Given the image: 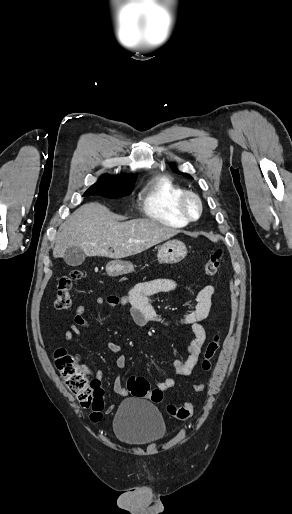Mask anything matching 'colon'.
<instances>
[{"instance_id":"1","label":"colon","mask_w":292,"mask_h":514,"mask_svg":"<svg viewBox=\"0 0 292 514\" xmlns=\"http://www.w3.org/2000/svg\"><path fill=\"white\" fill-rule=\"evenodd\" d=\"M223 250L216 249L205 261L203 272L206 276L217 273L221 265ZM83 278L80 270L72 271L69 275L59 279L55 297V306L61 312H67L73 303L72 288L76 281ZM221 338L215 335L205 346L202 358V369L210 371L212 360L220 348ZM55 366L60 375L65 379L67 388L74 394L77 401L85 408L92 407L89 417L92 420H100L103 417L104 398L103 390L98 379L90 378L81 366L78 357L64 349L55 352ZM126 387L136 399H149L154 403L163 401V391L152 388L144 376H131L126 380ZM196 391H203L204 385L194 386ZM166 410L169 415L177 419H187L193 414L194 407L191 403L177 405L168 403Z\"/></svg>"}]
</instances>
